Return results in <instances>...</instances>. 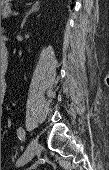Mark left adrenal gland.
Listing matches in <instances>:
<instances>
[{
    "label": "left adrenal gland",
    "instance_id": "1",
    "mask_svg": "<svg viewBox=\"0 0 109 170\" xmlns=\"http://www.w3.org/2000/svg\"><path fill=\"white\" fill-rule=\"evenodd\" d=\"M39 10V2L36 1L32 7L29 9V11L25 14L24 18H23V21L21 23V28L24 27L25 23H26V20L28 18V16L33 13V12H37Z\"/></svg>",
    "mask_w": 109,
    "mask_h": 170
}]
</instances>
